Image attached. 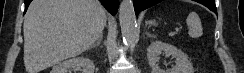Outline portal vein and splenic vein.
Returning a JSON list of instances; mask_svg holds the SVG:
<instances>
[{
  "label": "portal vein and splenic vein",
  "instance_id": "portal-vein-and-splenic-vein-1",
  "mask_svg": "<svg viewBox=\"0 0 244 73\" xmlns=\"http://www.w3.org/2000/svg\"><path fill=\"white\" fill-rule=\"evenodd\" d=\"M176 34V32H170L169 35L170 36H174Z\"/></svg>",
  "mask_w": 244,
  "mask_h": 73
}]
</instances>
